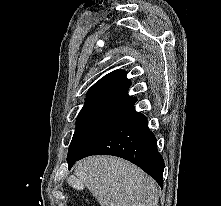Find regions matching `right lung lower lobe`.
I'll list each match as a JSON object with an SVG mask.
<instances>
[{"instance_id":"98d812e1","label":"right lung lower lobe","mask_w":221,"mask_h":206,"mask_svg":"<svg viewBox=\"0 0 221 206\" xmlns=\"http://www.w3.org/2000/svg\"><path fill=\"white\" fill-rule=\"evenodd\" d=\"M90 155H113L124 158L143 169L163 187L164 161L156 138L148 128L146 117L128 108L125 113L94 139L82 154L69 161V169L77 160Z\"/></svg>"}]
</instances>
